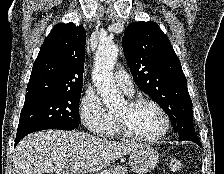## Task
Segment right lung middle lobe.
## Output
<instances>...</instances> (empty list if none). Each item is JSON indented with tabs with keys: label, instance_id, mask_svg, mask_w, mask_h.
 Wrapping results in <instances>:
<instances>
[{
	"label": "right lung middle lobe",
	"instance_id": "dd1d6c3e",
	"mask_svg": "<svg viewBox=\"0 0 224 174\" xmlns=\"http://www.w3.org/2000/svg\"><path fill=\"white\" fill-rule=\"evenodd\" d=\"M81 92L82 90L45 91L26 95L17 131L79 125Z\"/></svg>",
	"mask_w": 224,
	"mask_h": 174
}]
</instances>
